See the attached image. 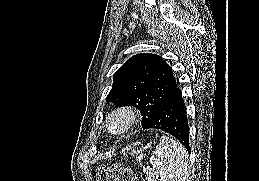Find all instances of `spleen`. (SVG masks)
Segmentation results:
<instances>
[{
    "instance_id": "spleen-1",
    "label": "spleen",
    "mask_w": 259,
    "mask_h": 181,
    "mask_svg": "<svg viewBox=\"0 0 259 181\" xmlns=\"http://www.w3.org/2000/svg\"><path fill=\"white\" fill-rule=\"evenodd\" d=\"M147 181H187L188 154L176 140L162 136L150 157Z\"/></svg>"
}]
</instances>
